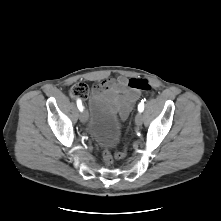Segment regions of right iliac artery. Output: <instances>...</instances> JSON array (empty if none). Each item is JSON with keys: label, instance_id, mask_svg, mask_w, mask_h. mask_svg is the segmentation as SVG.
Here are the masks:
<instances>
[{"label": "right iliac artery", "instance_id": "82829eb1", "mask_svg": "<svg viewBox=\"0 0 221 221\" xmlns=\"http://www.w3.org/2000/svg\"><path fill=\"white\" fill-rule=\"evenodd\" d=\"M77 106H78V109L80 110V111H82L83 110V106H82V103H81V101L80 100H77Z\"/></svg>", "mask_w": 221, "mask_h": 221}]
</instances>
